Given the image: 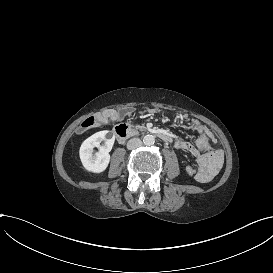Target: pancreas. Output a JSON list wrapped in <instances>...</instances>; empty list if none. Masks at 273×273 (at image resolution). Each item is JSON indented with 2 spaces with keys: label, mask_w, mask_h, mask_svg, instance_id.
Returning <instances> with one entry per match:
<instances>
[{
  "label": "pancreas",
  "mask_w": 273,
  "mask_h": 273,
  "mask_svg": "<svg viewBox=\"0 0 273 273\" xmlns=\"http://www.w3.org/2000/svg\"><path fill=\"white\" fill-rule=\"evenodd\" d=\"M129 126L132 128H135L136 130H142V126L134 124V123H129Z\"/></svg>",
  "instance_id": "obj_1"
}]
</instances>
